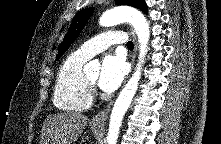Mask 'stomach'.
Instances as JSON below:
<instances>
[{"instance_id":"stomach-1","label":"stomach","mask_w":221,"mask_h":144,"mask_svg":"<svg viewBox=\"0 0 221 144\" xmlns=\"http://www.w3.org/2000/svg\"><path fill=\"white\" fill-rule=\"evenodd\" d=\"M101 128V126H94V125H91V129L94 130V131H97Z\"/></svg>"}]
</instances>
